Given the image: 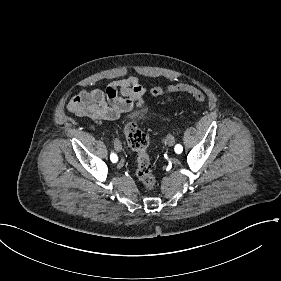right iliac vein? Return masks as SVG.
<instances>
[{
    "label": "right iliac vein",
    "mask_w": 281,
    "mask_h": 281,
    "mask_svg": "<svg viewBox=\"0 0 281 281\" xmlns=\"http://www.w3.org/2000/svg\"><path fill=\"white\" fill-rule=\"evenodd\" d=\"M114 146H115L116 151L119 152V151L122 150V145H121V142L119 140H115Z\"/></svg>",
    "instance_id": "obj_1"
}]
</instances>
